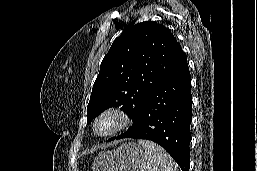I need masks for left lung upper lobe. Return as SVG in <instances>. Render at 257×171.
<instances>
[{"instance_id": "5c2ea615", "label": "left lung upper lobe", "mask_w": 257, "mask_h": 171, "mask_svg": "<svg viewBox=\"0 0 257 171\" xmlns=\"http://www.w3.org/2000/svg\"><path fill=\"white\" fill-rule=\"evenodd\" d=\"M180 50L170 30L155 22L126 29L101 63L87 106V123L100 112L118 106L134 122Z\"/></svg>"}]
</instances>
